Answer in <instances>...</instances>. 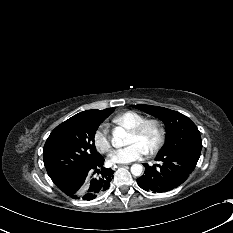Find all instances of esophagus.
<instances>
[{"instance_id": "34e87169", "label": "esophagus", "mask_w": 233, "mask_h": 233, "mask_svg": "<svg viewBox=\"0 0 233 233\" xmlns=\"http://www.w3.org/2000/svg\"><path fill=\"white\" fill-rule=\"evenodd\" d=\"M126 164H119V166H121V167H123V166H125Z\"/></svg>"}]
</instances>
